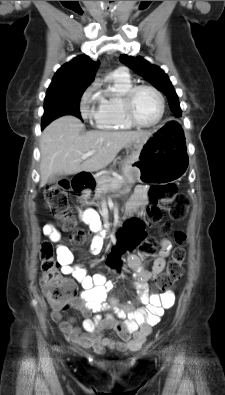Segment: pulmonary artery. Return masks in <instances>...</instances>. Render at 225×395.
Wrapping results in <instances>:
<instances>
[{"mask_svg":"<svg viewBox=\"0 0 225 395\" xmlns=\"http://www.w3.org/2000/svg\"><path fill=\"white\" fill-rule=\"evenodd\" d=\"M115 72L122 74V75H128L127 69L125 67H120Z\"/></svg>","mask_w":225,"mask_h":395,"instance_id":"e3ab8cb5","label":"pulmonary artery"}]
</instances>
